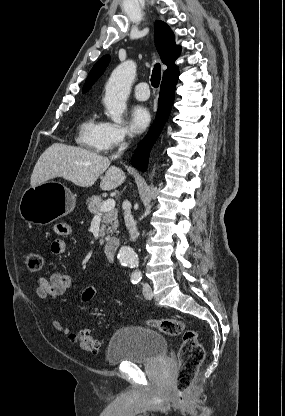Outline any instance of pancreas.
<instances>
[{
  "mask_svg": "<svg viewBox=\"0 0 285 416\" xmlns=\"http://www.w3.org/2000/svg\"><path fill=\"white\" fill-rule=\"evenodd\" d=\"M86 204L91 214H94V216H101V218H103L99 238L101 244H104L103 238H105V236L108 238V236H112L114 232H117V228L119 226V222L117 220L118 210L101 212V206L103 204L101 196H91V198H87Z\"/></svg>",
  "mask_w": 285,
  "mask_h": 416,
  "instance_id": "pancreas-1",
  "label": "pancreas"
}]
</instances>
